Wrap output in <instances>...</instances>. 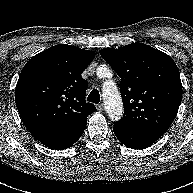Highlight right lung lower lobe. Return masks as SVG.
Segmentation results:
<instances>
[{
	"label": "right lung lower lobe",
	"instance_id": "1",
	"mask_svg": "<svg viewBox=\"0 0 193 193\" xmlns=\"http://www.w3.org/2000/svg\"><path fill=\"white\" fill-rule=\"evenodd\" d=\"M84 128L64 137V138H57L53 139L47 142H44L43 144L49 148L56 149V150H62L67 149L68 147L72 146L83 134Z\"/></svg>",
	"mask_w": 193,
	"mask_h": 193
}]
</instances>
